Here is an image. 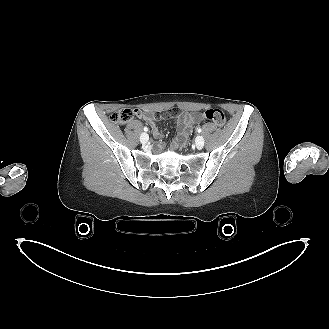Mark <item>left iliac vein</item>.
Instances as JSON below:
<instances>
[{"instance_id":"left-iliac-vein-1","label":"left iliac vein","mask_w":329,"mask_h":329,"mask_svg":"<svg viewBox=\"0 0 329 329\" xmlns=\"http://www.w3.org/2000/svg\"><path fill=\"white\" fill-rule=\"evenodd\" d=\"M195 144L198 149L203 148V146L205 144L204 138L202 136H197L196 140H195Z\"/></svg>"}]
</instances>
